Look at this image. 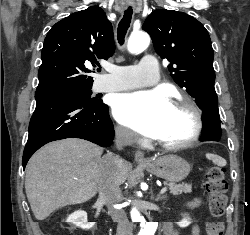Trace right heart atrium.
Instances as JSON below:
<instances>
[{
  "label": "right heart atrium",
  "mask_w": 250,
  "mask_h": 235,
  "mask_svg": "<svg viewBox=\"0 0 250 235\" xmlns=\"http://www.w3.org/2000/svg\"><path fill=\"white\" fill-rule=\"evenodd\" d=\"M115 134L118 140L127 144L132 143L137 139L136 135L132 131L121 125H117L115 127Z\"/></svg>",
  "instance_id": "d8ad5b80"
}]
</instances>
